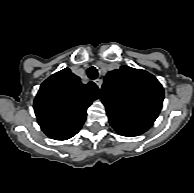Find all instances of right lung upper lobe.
Returning a JSON list of instances; mask_svg holds the SVG:
<instances>
[{
    "label": "right lung upper lobe",
    "instance_id": "right-lung-upper-lobe-1",
    "mask_svg": "<svg viewBox=\"0 0 194 193\" xmlns=\"http://www.w3.org/2000/svg\"><path fill=\"white\" fill-rule=\"evenodd\" d=\"M100 97L95 83H81L69 68L46 79L34 100V111L44 133L55 140L74 136L86 119V110Z\"/></svg>",
    "mask_w": 194,
    "mask_h": 193
}]
</instances>
